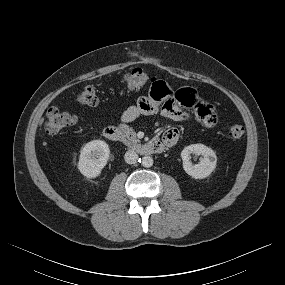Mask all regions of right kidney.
Wrapping results in <instances>:
<instances>
[{
  "instance_id": "right-kidney-1",
  "label": "right kidney",
  "mask_w": 285,
  "mask_h": 285,
  "mask_svg": "<svg viewBox=\"0 0 285 285\" xmlns=\"http://www.w3.org/2000/svg\"><path fill=\"white\" fill-rule=\"evenodd\" d=\"M110 150L102 140L88 142L81 150L78 169L87 178H96L107 164Z\"/></svg>"
}]
</instances>
